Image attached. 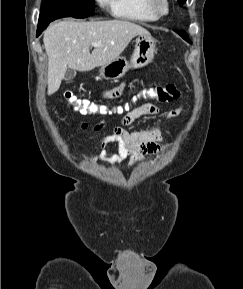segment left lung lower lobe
Masks as SVG:
<instances>
[{
    "label": "left lung lower lobe",
    "mask_w": 243,
    "mask_h": 289,
    "mask_svg": "<svg viewBox=\"0 0 243 289\" xmlns=\"http://www.w3.org/2000/svg\"><path fill=\"white\" fill-rule=\"evenodd\" d=\"M176 33H178L184 40H186L187 42L191 43L190 39L188 38V35L183 32V31H178V30H174Z\"/></svg>",
    "instance_id": "0a47b994"
}]
</instances>
